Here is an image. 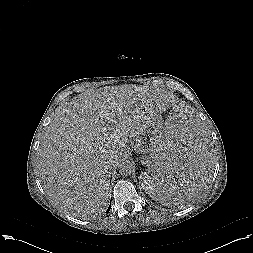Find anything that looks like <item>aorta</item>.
<instances>
[{
    "label": "aorta",
    "instance_id": "obj_1",
    "mask_svg": "<svg viewBox=\"0 0 253 253\" xmlns=\"http://www.w3.org/2000/svg\"><path fill=\"white\" fill-rule=\"evenodd\" d=\"M118 170L122 176L131 175L135 170L134 162L129 159H124L118 165Z\"/></svg>",
    "mask_w": 253,
    "mask_h": 253
}]
</instances>
